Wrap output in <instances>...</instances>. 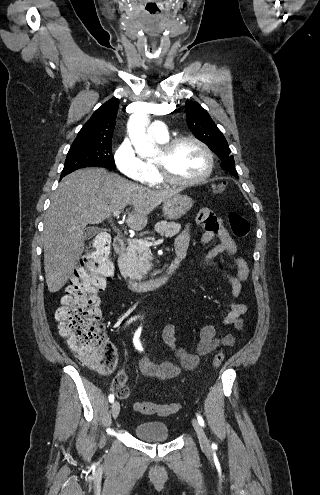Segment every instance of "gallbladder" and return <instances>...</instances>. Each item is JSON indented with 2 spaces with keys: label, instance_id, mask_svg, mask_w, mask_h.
I'll return each instance as SVG.
<instances>
[{
  "label": "gallbladder",
  "instance_id": "bac80fb5",
  "mask_svg": "<svg viewBox=\"0 0 320 495\" xmlns=\"http://www.w3.org/2000/svg\"><path fill=\"white\" fill-rule=\"evenodd\" d=\"M100 231L101 230L98 227L91 226L85 230L83 236L85 239H90V238L94 237L96 234H98Z\"/></svg>",
  "mask_w": 320,
  "mask_h": 495
}]
</instances>
